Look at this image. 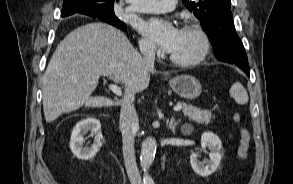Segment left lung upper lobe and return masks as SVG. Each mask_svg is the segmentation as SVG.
Here are the masks:
<instances>
[{
    "instance_id": "1",
    "label": "left lung upper lobe",
    "mask_w": 293,
    "mask_h": 184,
    "mask_svg": "<svg viewBox=\"0 0 293 184\" xmlns=\"http://www.w3.org/2000/svg\"><path fill=\"white\" fill-rule=\"evenodd\" d=\"M189 11L201 21L202 28L209 36L216 57H222L221 45L229 38L238 37L233 15L230 10L231 0H182Z\"/></svg>"
}]
</instances>
